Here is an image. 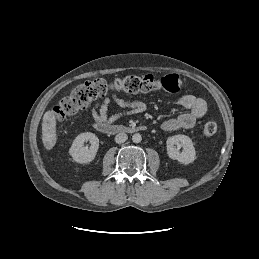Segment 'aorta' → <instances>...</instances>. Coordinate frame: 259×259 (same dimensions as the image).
<instances>
[{
    "mask_svg": "<svg viewBox=\"0 0 259 259\" xmlns=\"http://www.w3.org/2000/svg\"><path fill=\"white\" fill-rule=\"evenodd\" d=\"M132 141L134 143H140L142 141V136L139 134V133H135L133 136H132Z\"/></svg>",
    "mask_w": 259,
    "mask_h": 259,
    "instance_id": "obj_1",
    "label": "aorta"
}]
</instances>
